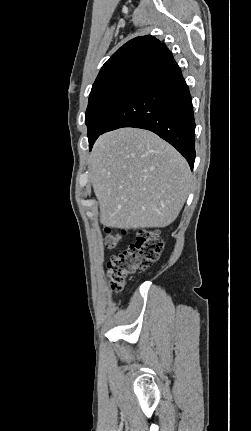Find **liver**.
Returning a JSON list of instances; mask_svg holds the SVG:
<instances>
[{
  "mask_svg": "<svg viewBox=\"0 0 251 431\" xmlns=\"http://www.w3.org/2000/svg\"><path fill=\"white\" fill-rule=\"evenodd\" d=\"M89 177L110 228H164L179 215L192 183L187 161L156 134L121 128L101 135Z\"/></svg>",
  "mask_w": 251,
  "mask_h": 431,
  "instance_id": "1",
  "label": "liver"
}]
</instances>
